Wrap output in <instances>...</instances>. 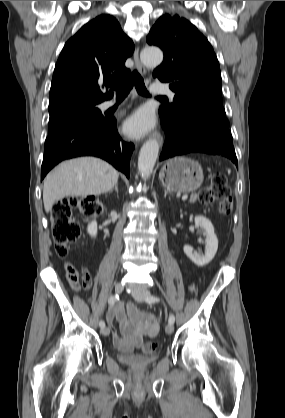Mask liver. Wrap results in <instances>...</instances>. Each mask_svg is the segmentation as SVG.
I'll return each mask as SVG.
<instances>
[{
	"label": "liver",
	"instance_id": "1",
	"mask_svg": "<svg viewBox=\"0 0 285 418\" xmlns=\"http://www.w3.org/2000/svg\"><path fill=\"white\" fill-rule=\"evenodd\" d=\"M119 173L107 162L94 157H81L62 162L44 179L45 211L67 196L100 195L112 190Z\"/></svg>",
	"mask_w": 285,
	"mask_h": 418
}]
</instances>
